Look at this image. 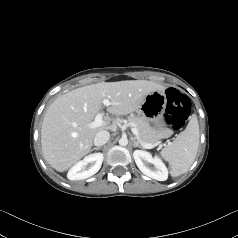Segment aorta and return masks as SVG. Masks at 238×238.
Instances as JSON below:
<instances>
[{"label": "aorta", "instance_id": "aorta-1", "mask_svg": "<svg viewBox=\"0 0 238 238\" xmlns=\"http://www.w3.org/2000/svg\"><path fill=\"white\" fill-rule=\"evenodd\" d=\"M128 144V139L126 137H122L119 140V145L126 146Z\"/></svg>", "mask_w": 238, "mask_h": 238}]
</instances>
